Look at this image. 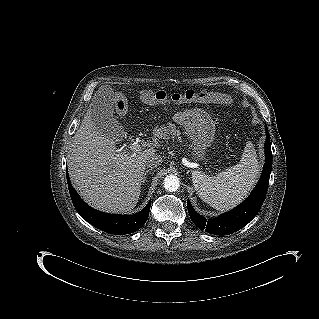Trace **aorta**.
Returning a JSON list of instances; mask_svg holds the SVG:
<instances>
[{
  "label": "aorta",
  "mask_w": 319,
  "mask_h": 319,
  "mask_svg": "<svg viewBox=\"0 0 319 319\" xmlns=\"http://www.w3.org/2000/svg\"><path fill=\"white\" fill-rule=\"evenodd\" d=\"M180 186V181L175 175H168L164 179V188L169 192H175Z\"/></svg>",
  "instance_id": "aorta-1"
}]
</instances>
